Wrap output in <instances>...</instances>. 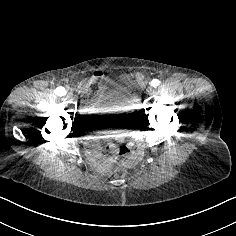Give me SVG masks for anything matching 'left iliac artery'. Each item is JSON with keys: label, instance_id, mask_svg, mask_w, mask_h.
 Wrapping results in <instances>:
<instances>
[{"label": "left iliac artery", "instance_id": "44dca946", "mask_svg": "<svg viewBox=\"0 0 236 236\" xmlns=\"http://www.w3.org/2000/svg\"><path fill=\"white\" fill-rule=\"evenodd\" d=\"M160 81L158 80V79H153L152 81H151V86H153V87H157L158 85H160Z\"/></svg>", "mask_w": 236, "mask_h": 236}]
</instances>
